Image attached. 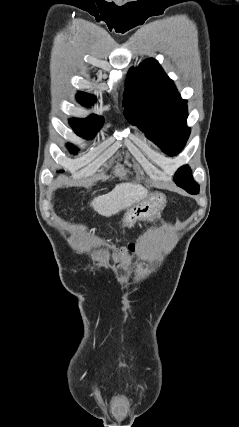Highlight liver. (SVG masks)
<instances>
[{
	"mask_svg": "<svg viewBox=\"0 0 239 427\" xmlns=\"http://www.w3.org/2000/svg\"><path fill=\"white\" fill-rule=\"evenodd\" d=\"M148 190L136 183H120L115 188L91 202L93 209L98 214L110 217L122 209H126L144 200Z\"/></svg>",
	"mask_w": 239,
	"mask_h": 427,
	"instance_id": "liver-1",
	"label": "liver"
}]
</instances>
